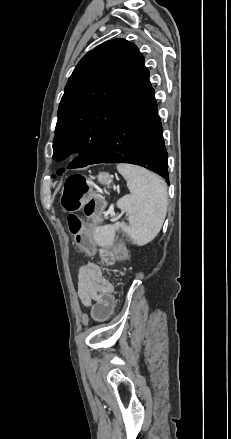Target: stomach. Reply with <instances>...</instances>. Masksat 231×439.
Listing matches in <instances>:
<instances>
[{
	"label": "stomach",
	"instance_id": "0dacf381",
	"mask_svg": "<svg viewBox=\"0 0 231 439\" xmlns=\"http://www.w3.org/2000/svg\"><path fill=\"white\" fill-rule=\"evenodd\" d=\"M98 180L101 184L109 186L112 182V176L108 173H102L98 176Z\"/></svg>",
	"mask_w": 231,
	"mask_h": 439
}]
</instances>
